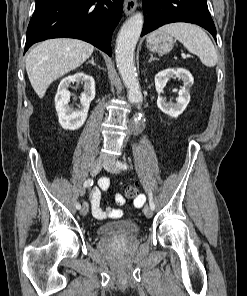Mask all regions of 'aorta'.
<instances>
[{"label":"aorta","instance_id":"762f6f07","mask_svg":"<svg viewBox=\"0 0 247 296\" xmlns=\"http://www.w3.org/2000/svg\"><path fill=\"white\" fill-rule=\"evenodd\" d=\"M142 27L143 15L140 12L127 19L119 31L115 51L117 68L128 89V99L136 104L142 102V93L134 64V52ZM135 120H139V117L136 116Z\"/></svg>","mask_w":247,"mask_h":296}]
</instances>
